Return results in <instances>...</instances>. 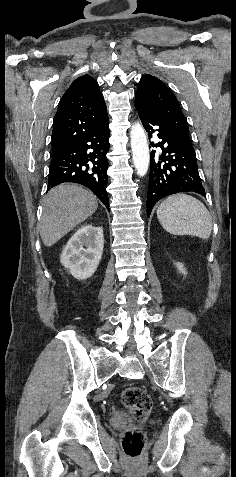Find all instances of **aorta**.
I'll return each mask as SVG.
<instances>
[{"label": "aorta", "mask_w": 236, "mask_h": 477, "mask_svg": "<svg viewBox=\"0 0 236 477\" xmlns=\"http://www.w3.org/2000/svg\"><path fill=\"white\" fill-rule=\"evenodd\" d=\"M130 142L135 170L138 176L143 177L149 168L150 154L145 130L139 122L130 129Z\"/></svg>", "instance_id": "obj_1"}]
</instances>
